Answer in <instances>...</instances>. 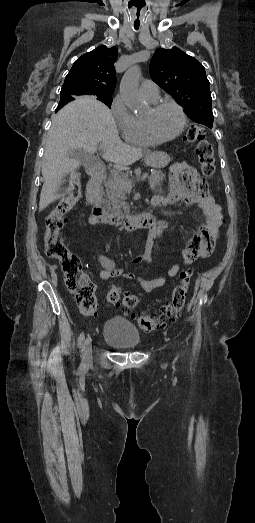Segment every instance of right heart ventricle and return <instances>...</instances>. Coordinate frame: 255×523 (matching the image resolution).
<instances>
[{"mask_svg": "<svg viewBox=\"0 0 255 523\" xmlns=\"http://www.w3.org/2000/svg\"><path fill=\"white\" fill-rule=\"evenodd\" d=\"M144 98L151 104H154L158 99ZM123 136L128 143L136 146H146L152 143V141L144 133L142 127V117L133 115L131 113L128 118L126 128L123 132Z\"/></svg>", "mask_w": 255, "mask_h": 523, "instance_id": "obj_1", "label": "right heart ventricle"}]
</instances>
